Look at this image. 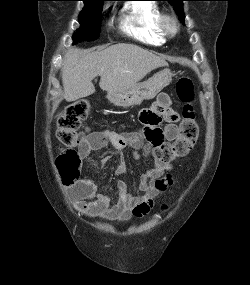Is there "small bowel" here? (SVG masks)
Wrapping results in <instances>:
<instances>
[{
  "label": "small bowel",
  "instance_id": "small-bowel-1",
  "mask_svg": "<svg viewBox=\"0 0 250 285\" xmlns=\"http://www.w3.org/2000/svg\"><path fill=\"white\" fill-rule=\"evenodd\" d=\"M167 106L168 98L162 95L153 107L142 110L140 121L144 127L139 131L117 133L103 130L88 134L79 146L80 155L88 158L92 152L100 150L109 143L120 155L115 173H124L127 164L123 151L127 147L138 149L144 141L150 143L151 147H162L166 141L178 137L179 129L175 124L177 114L169 110ZM162 115L168 121L164 129L159 127ZM108 161L109 157L101 159L98 164L99 168H103ZM172 169L170 162L155 159L153 166L140 177L141 195H132L126 183L119 182L117 184L118 198L115 202L108 195L99 193L97 185L89 179H82L68 185L66 190L68 195L75 200L76 209L81 214L110 221H125L133 216H146L151 212L156 197L173 183L170 174Z\"/></svg>",
  "mask_w": 250,
  "mask_h": 285
}]
</instances>
